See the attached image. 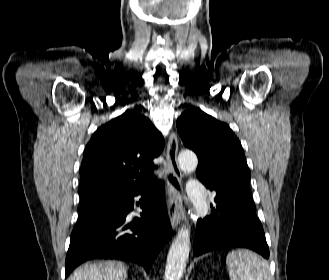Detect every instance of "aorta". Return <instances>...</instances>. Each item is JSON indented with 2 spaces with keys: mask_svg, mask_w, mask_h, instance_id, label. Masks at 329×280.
Wrapping results in <instances>:
<instances>
[{
  "mask_svg": "<svg viewBox=\"0 0 329 280\" xmlns=\"http://www.w3.org/2000/svg\"><path fill=\"white\" fill-rule=\"evenodd\" d=\"M180 169L185 173L195 171L198 159L191 151H182L178 156ZM190 229L186 226L178 231L169 249L165 267V280H180L186 268L190 252Z\"/></svg>",
  "mask_w": 329,
  "mask_h": 280,
  "instance_id": "762f6f07",
  "label": "aorta"
}]
</instances>
